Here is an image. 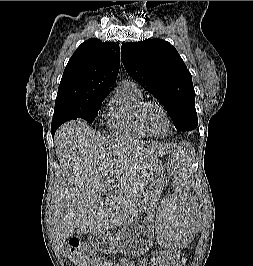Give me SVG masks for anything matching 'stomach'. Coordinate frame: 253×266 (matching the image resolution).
I'll return each mask as SVG.
<instances>
[{"mask_svg":"<svg viewBox=\"0 0 253 266\" xmlns=\"http://www.w3.org/2000/svg\"><path fill=\"white\" fill-rule=\"evenodd\" d=\"M163 166L157 161L146 178L145 189L138 210L116 234L101 235L94 246L105 252H119L129 257L146 253L153 244L154 237V204L153 196L160 185Z\"/></svg>","mask_w":253,"mask_h":266,"instance_id":"0dacf381","label":"stomach"}]
</instances>
